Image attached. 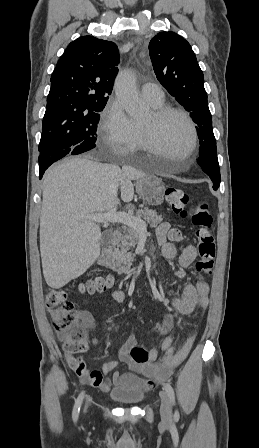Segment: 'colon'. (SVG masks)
Returning <instances> with one entry per match:
<instances>
[{
    "label": "colon",
    "mask_w": 259,
    "mask_h": 448,
    "mask_svg": "<svg viewBox=\"0 0 259 448\" xmlns=\"http://www.w3.org/2000/svg\"><path fill=\"white\" fill-rule=\"evenodd\" d=\"M165 198L171 209L184 218H190L197 228V254L198 260L195 268L198 272L211 275L214 267L215 241L213 235V220L205 203L188 208L189 197L178 187H169L165 191ZM173 238H179L177 230L171 233ZM111 276H97L82 286L87 293L103 292L114 286ZM46 307L51 316L53 326L63 341L65 350L69 353H81L87 348V332L92 325L89 313L77 310L67 298L64 291L48 289L46 291ZM130 358L138 364L148 361L149 354L144 347L134 346L130 350Z\"/></svg>",
    "instance_id": "1"
}]
</instances>
